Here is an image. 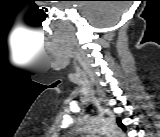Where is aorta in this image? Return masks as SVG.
Returning <instances> with one entry per match:
<instances>
[{
	"mask_svg": "<svg viewBox=\"0 0 160 137\" xmlns=\"http://www.w3.org/2000/svg\"><path fill=\"white\" fill-rule=\"evenodd\" d=\"M92 132L105 134L108 137H124L123 132L114 123L101 122L93 128Z\"/></svg>",
	"mask_w": 160,
	"mask_h": 137,
	"instance_id": "aorta-1",
	"label": "aorta"
}]
</instances>
